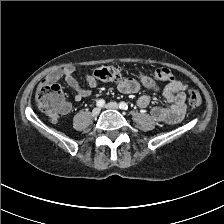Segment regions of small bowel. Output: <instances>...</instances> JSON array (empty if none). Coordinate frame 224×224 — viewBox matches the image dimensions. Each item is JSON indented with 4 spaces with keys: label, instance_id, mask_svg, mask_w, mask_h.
Instances as JSON below:
<instances>
[{
    "label": "small bowel",
    "instance_id": "small-bowel-1",
    "mask_svg": "<svg viewBox=\"0 0 224 224\" xmlns=\"http://www.w3.org/2000/svg\"><path fill=\"white\" fill-rule=\"evenodd\" d=\"M75 72V67L69 65L62 69L52 71L49 75H47L44 82L50 83L64 79L68 86L75 91V100L80 101L81 99L88 97L91 94V91L80 85L75 77ZM85 79L91 88H94L98 85V80L94 76L87 75ZM141 85L152 91L159 90V85L154 80L147 77H144L141 82L135 79H125L119 83L118 87L121 92L130 94L139 91ZM185 89L186 85L182 81L171 80L168 82L161 89L162 97L168 103V106H154L150 111L151 117L157 122H163L167 124L179 123L184 118L186 112ZM150 102L151 98L148 95L140 96L137 101L140 108L148 107ZM68 111L69 107L66 111H63V113H67Z\"/></svg>",
    "mask_w": 224,
    "mask_h": 224
}]
</instances>
